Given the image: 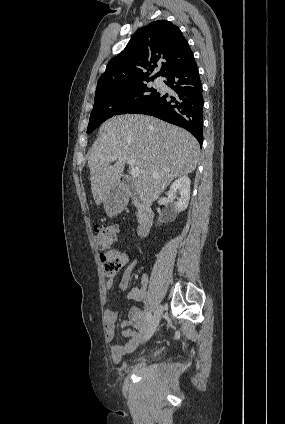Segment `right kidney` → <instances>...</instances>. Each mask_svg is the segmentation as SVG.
I'll return each instance as SVG.
<instances>
[{"instance_id": "right-kidney-1", "label": "right kidney", "mask_w": 285, "mask_h": 424, "mask_svg": "<svg viewBox=\"0 0 285 424\" xmlns=\"http://www.w3.org/2000/svg\"><path fill=\"white\" fill-rule=\"evenodd\" d=\"M190 178L187 175H183L176 179L170 186L168 197L170 199L177 198L176 193L179 192L180 197L175 202V211L177 213L187 209L190 200Z\"/></svg>"}]
</instances>
